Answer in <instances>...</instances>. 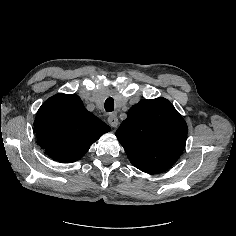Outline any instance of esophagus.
Here are the masks:
<instances>
[{
	"instance_id": "obj_1",
	"label": "esophagus",
	"mask_w": 236,
	"mask_h": 236,
	"mask_svg": "<svg viewBox=\"0 0 236 236\" xmlns=\"http://www.w3.org/2000/svg\"><path fill=\"white\" fill-rule=\"evenodd\" d=\"M108 123H109L112 127L116 128V127L118 126V118H117V116H116L115 114H110V115L108 116Z\"/></svg>"
}]
</instances>
